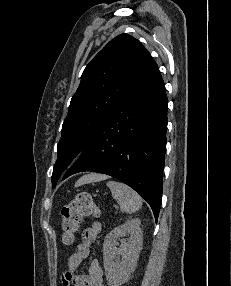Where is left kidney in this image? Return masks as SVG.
Returning <instances> with one entry per match:
<instances>
[{
	"instance_id": "obj_1",
	"label": "left kidney",
	"mask_w": 231,
	"mask_h": 286,
	"mask_svg": "<svg viewBox=\"0 0 231 286\" xmlns=\"http://www.w3.org/2000/svg\"><path fill=\"white\" fill-rule=\"evenodd\" d=\"M138 218L130 219L106 235L103 244V262L109 286H120L130 279L137 267L139 252L143 243V233ZM122 239L117 247V240ZM119 256H122L120 259Z\"/></svg>"
}]
</instances>
